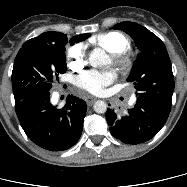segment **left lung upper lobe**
Masks as SVG:
<instances>
[{
    "instance_id": "left-lung-upper-lobe-1",
    "label": "left lung upper lobe",
    "mask_w": 187,
    "mask_h": 187,
    "mask_svg": "<svg viewBox=\"0 0 187 187\" xmlns=\"http://www.w3.org/2000/svg\"><path fill=\"white\" fill-rule=\"evenodd\" d=\"M114 28L129 34L140 51L127 78L134 84L136 96L171 105L174 76L164 43L147 28L134 22H121Z\"/></svg>"
}]
</instances>
